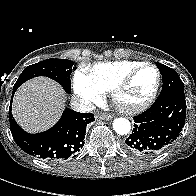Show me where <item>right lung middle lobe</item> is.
Instances as JSON below:
<instances>
[{
	"label": "right lung middle lobe",
	"instance_id": "obj_1",
	"mask_svg": "<svg viewBox=\"0 0 196 196\" xmlns=\"http://www.w3.org/2000/svg\"><path fill=\"white\" fill-rule=\"evenodd\" d=\"M72 66L73 62L66 59H47L30 65L21 73L13 89H17L22 83L33 77L47 76L57 81L67 93H70Z\"/></svg>",
	"mask_w": 196,
	"mask_h": 196
}]
</instances>
